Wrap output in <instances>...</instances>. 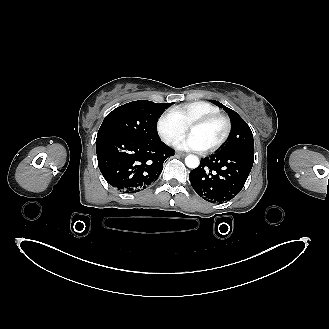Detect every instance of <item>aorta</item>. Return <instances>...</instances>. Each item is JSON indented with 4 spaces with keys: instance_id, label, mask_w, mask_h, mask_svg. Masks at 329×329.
<instances>
[{
    "instance_id": "1",
    "label": "aorta",
    "mask_w": 329,
    "mask_h": 329,
    "mask_svg": "<svg viewBox=\"0 0 329 329\" xmlns=\"http://www.w3.org/2000/svg\"><path fill=\"white\" fill-rule=\"evenodd\" d=\"M185 164L188 168L195 169L199 166L200 160L197 156L195 155H188L185 158Z\"/></svg>"
}]
</instances>
